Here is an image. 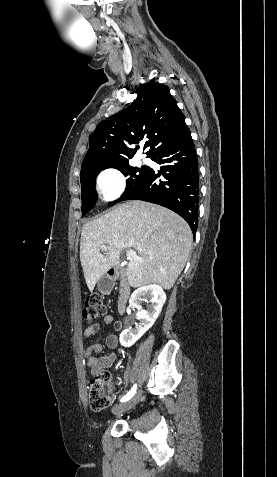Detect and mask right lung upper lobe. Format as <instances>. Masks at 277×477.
Masks as SVG:
<instances>
[{
    "mask_svg": "<svg viewBox=\"0 0 277 477\" xmlns=\"http://www.w3.org/2000/svg\"><path fill=\"white\" fill-rule=\"evenodd\" d=\"M137 94L131 105L97 126L90 137L81 170L127 163L126 157L132 158L136 148L125 147L123 140L136 144L147 137L145 147L150 158L188 130L185 117L167 86L149 82L141 86Z\"/></svg>",
    "mask_w": 277,
    "mask_h": 477,
    "instance_id": "obj_1",
    "label": "right lung upper lobe"
}]
</instances>
